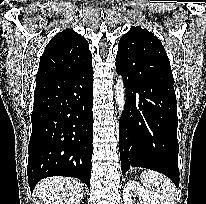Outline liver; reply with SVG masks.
<instances>
[{
	"label": "liver",
	"instance_id": "1",
	"mask_svg": "<svg viewBox=\"0 0 206 204\" xmlns=\"http://www.w3.org/2000/svg\"><path fill=\"white\" fill-rule=\"evenodd\" d=\"M34 193L35 204H79L84 192L77 179L49 177L36 185Z\"/></svg>",
	"mask_w": 206,
	"mask_h": 204
}]
</instances>
